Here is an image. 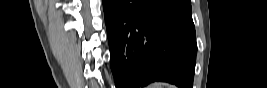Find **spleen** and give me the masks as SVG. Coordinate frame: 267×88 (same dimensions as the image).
I'll list each match as a JSON object with an SVG mask.
<instances>
[{
	"label": "spleen",
	"mask_w": 267,
	"mask_h": 88,
	"mask_svg": "<svg viewBox=\"0 0 267 88\" xmlns=\"http://www.w3.org/2000/svg\"><path fill=\"white\" fill-rule=\"evenodd\" d=\"M166 84L161 82H155L148 86V88H165Z\"/></svg>",
	"instance_id": "obj_1"
}]
</instances>
